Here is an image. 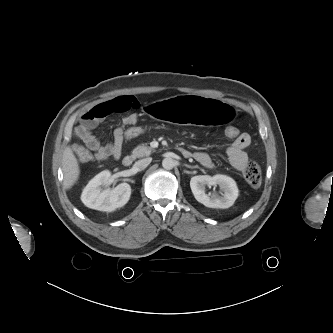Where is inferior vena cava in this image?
I'll list each match as a JSON object with an SVG mask.
<instances>
[{"label":"inferior vena cava","mask_w":333,"mask_h":333,"mask_svg":"<svg viewBox=\"0 0 333 333\" xmlns=\"http://www.w3.org/2000/svg\"><path fill=\"white\" fill-rule=\"evenodd\" d=\"M152 161V158H145V159H141L138 160L137 162H135L134 167L135 169L141 171L144 170Z\"/></svg>","instance_id":"obj_1"}]
</instances>
